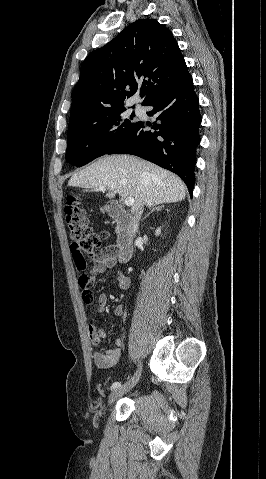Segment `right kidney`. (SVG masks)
<instances>
[{
	"label": "right kidney",
	"instance_id": "obj_1",
	"mask_svg": "<svg viewBox=\"0 0 266 479\" xmlns=\"http://www.w3.org/2000/svg\"><path fill=\"white\" fill-rule=\"evenodd\" d=\"M160 233H161V228H157V230L155 231V235L159 236Z\"/></svg>",
	"mask_w": 266,
	"mask_h": 479
}]
</instances>
